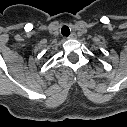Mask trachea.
Returning a JSON list of instances; mask_svg holds the SVG:
<instances>
[{"mask_svg":"<svg viewBox=\"0 0 127 127\" xmlns=\"http://www.w3.org/2000/svg\"><path fill=\"white\" fill-rule=\"evenodd\" d=\"M61 33H62L63 36L68 37L70 35L69 27L64 25L61 29Z\"/></svg>","mask_w":127,"mask_h":127,"instance_id":"1","label":"trachea"}]
</instances>
